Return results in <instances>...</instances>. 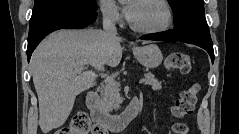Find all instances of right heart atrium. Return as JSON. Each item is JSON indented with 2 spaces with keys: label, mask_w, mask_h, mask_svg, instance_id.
<instances>
[{
  "label": "right heart atrium",
  "mask_w": 239,
  "mask_h": 134,
  "mask_svg": "<svg viewBox=\"0 0 239 134\" xmlns=\"http://www.w3.org/2000/svg\"><path fill=\"white\" fill-rule=\"evenodd\" d=\"M99 7L104 20L108 23L117 24L121 22L122 15L119 6L113 0H100Z\"/></svg>",
  "instance_id": "obj_1"
}]
</instances>
